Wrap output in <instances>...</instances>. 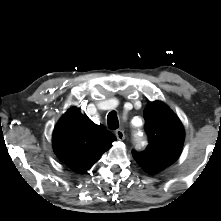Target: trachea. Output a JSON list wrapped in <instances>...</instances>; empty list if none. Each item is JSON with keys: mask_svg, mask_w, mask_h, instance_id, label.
<instances>
[{"mask_svg": "<svg viewBox=\"0 0 221 221\" xmlns=\"http://www.w3.org/2000/svg\"><path fill=\"white\" fill-rule=\"evenodd\" d=\"M107 123H108V128L111 130H116L119 127L118 117L114 111L108 114Z\"/></svg>", "mask_w": 221, "mask_h": 221, "instance_id": "obj_1", "label": "trachea"}]
</instances>
